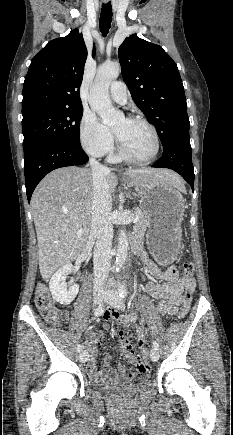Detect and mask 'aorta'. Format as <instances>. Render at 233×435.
I'll list each match as a JSON object with an SVG mask.
<instances>
[{
    "label": "aorta",
    "instance_id": "762f6f07",
    "mask_svg": "<svg viewBox=\"0 0 233 435\" xmlns=\"http://www.w3.org/2000/svg\"><path fill=\"white\" fill-rule=\"evenodd\" d=\"M119 74L120 64L118 62L103 64L98 69L93 86L90 89V106L101 117L103 123L108 126H112L124 118V114L112 106L109 98V86ZM127 252V234L125 229H121L118 238L116 271L123 267Z\"/></svg>",
    "mask_w": 233,
    "mask_h": 435
}]
</instances>
